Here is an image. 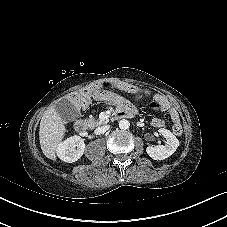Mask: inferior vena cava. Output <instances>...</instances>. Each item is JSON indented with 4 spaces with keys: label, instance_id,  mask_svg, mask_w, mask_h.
<instances>
[{
    "label": "inferior vena cava",
    "instance_id": "1",
    "mask_svg": "<svg viewBox=\"0 0 227 227\" xmlns=\"http://www.w3.org/2000/svg\"><path fill=\"white\" fill-rule=\"evenodd\" d=\"M109 129V125H103L101 127L96 128L95 134L99 135L105 133Z\"/></svg>",
    "mask_w": 227,
    "mask_h": 227
}]
</instances>
